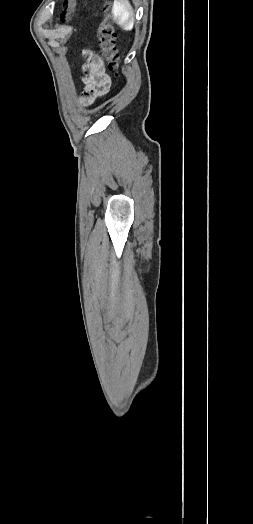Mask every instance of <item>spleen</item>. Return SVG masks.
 Masks as SVG:
<instances>
[{
  "instance_id": "obj_1",
  "label": "spleen",
  "mask_w": 253,
  "mask_h": 524,
  "mask_svg": "<svg viewBox=\"0 0 253 524\" xmlns=\"http://www.w3.org/2000/svg\"><path fill=\"white\" fill-rule=\"evenodd\" d=\"M113 17L124 30L130 31L134 26L133 9L127 0H114Z\"/></svg>"
}]
</instances>
